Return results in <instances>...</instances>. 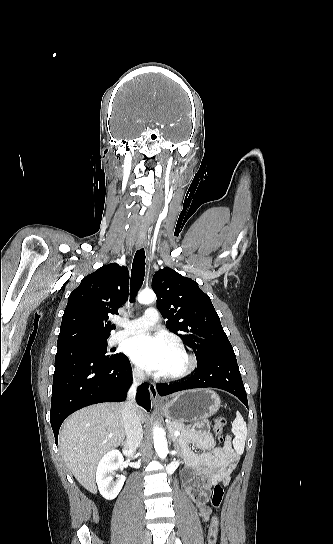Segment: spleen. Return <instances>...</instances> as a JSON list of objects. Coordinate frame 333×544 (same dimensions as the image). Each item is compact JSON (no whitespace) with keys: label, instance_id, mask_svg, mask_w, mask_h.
I'll return each mask as SVG.
<instances>
[{"label":"spleen","instance_id":"3e777b00","mask_svg":"<svg viewBox=\"0 0 333 544\" xmlns=\"http://www.w3.org/2000/svg\"><path fill=\"white\" fill-rule=\"evenodd\" d=\"M232 433L235 435L233 446L237 453L244 451L245 440L247 437V426L240 412H236V418L232 423Z\"/></svg>","mask_w":333,"mask_h":544}]
</instances>
